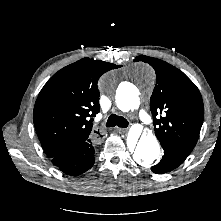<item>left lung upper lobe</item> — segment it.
I'll return each mask as SVG.
<instances>
[{"instance_id": "1", "label": "left lung upper lobe", "mask_w": 221, "mask_h": 221, "mask_svg": "<svg viewBox=\"0 0 221 221\" xmlns=\"http://www.w3.org/2000/svg\"><path fill=\"white\" fill-rule=\"evenodd\" d=\"M134 61L150 64L156 72V85L150 98L155 134L161 145L189 152L199 138L204 119L200 91L179 69L160 59L138 56ZM160 114V118L156 116Z\"/></svg>"}]
</instances>
